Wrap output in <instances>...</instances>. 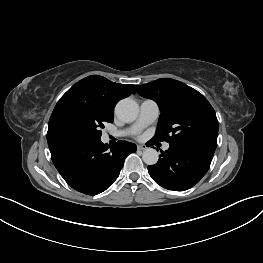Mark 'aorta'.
Wrapping results in <instances>:
<instances>
[{
  "label": "aorta",
  "mask_w": 263,
  "mask_h": 263,
  "mask_svg": "<svg viewBox=\"0 0 263 263\" xmlns=\"http://www.w3.org/2000/svg\"><path fill=\"white\" fill-rule=\"evenodd\" d=\"M115 113L121 121L128 123L137 118L139 107L134 100L125 98L117 103ZM142 158L147 165H154L158 162L159 154L155 149L147 148L144 150Z\"/></svg>",
  "instance_id": "obj_1"
}]
</instances>
